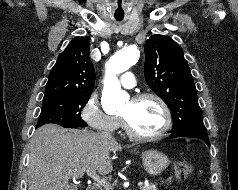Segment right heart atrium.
I'll return each mask as SVG.
<instances>
[{"mask_svg": "<svg viewBox=\"0 0 238 190\" xmlns=\"http://www.w3.org/2000/svg\"><path fill=\"white\" fill-rule=\"evenodd\" d=\"M81 117L90 127L101 132L112 133L120 125L116 116L109 115L102 110L99 99L95 94H92L85 102Z\"/></svg>", "mask_w": 238, "mask_h": 190, "instance_id": "d8ad5b80", "label": "right heart atrium"}]
</instances>
